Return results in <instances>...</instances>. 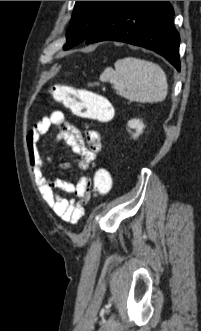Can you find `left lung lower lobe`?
Masks as SVG:
<instances>
[{"instance_id": "obj_1", "label": "left lung lower lobe", "mask_w": 201, "mask_h": 331, "mask_svg": "<svg viewBox=\"0 0 201 331\" xmlns=\"http://www.w3.org/2000/svg\"><path fill=\"white\" fill-rule=\"evenodd\" d=\"M173 14L169 1H120L85 42L120 41L141 46L162 55L180 71V37Z\"/></svg>"}]
</instances>
